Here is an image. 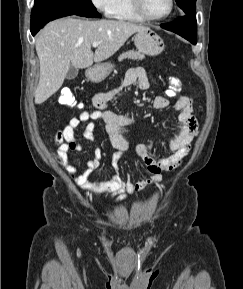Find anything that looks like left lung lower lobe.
Returning a JSON list of instances; mask_svg holds the SVG:
<instances>
[{
    "label": "left lung lower lobe",
    "instance_id": "obj_1",
    "mask_svg": "<svg viewBox=\"0 0 243 289\" xmlns=\"http://www.w3.org/2000/svg\"><path fill=\"white\" fill-rule=\"evenodd\" d=\"M162 28L175 32L192 44H196V18L194 14H186L173 22L161 24Z\"/></svg>",
    "mask_w": 243,
    "mask_h": 289
}]
</instances>
